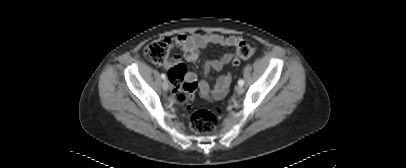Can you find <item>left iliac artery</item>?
Listing matches in <instances>:
<instances>
[{
	"label": "left iliac artery",
	"instance_id": "1",
	"mask_svg": "<svg viewBox=\"0 0 406 168\" xmlns=\"http://www.w3.org/2000/svg\"><path fill=\"white\" fill-rule=\"evenodd\" d=\"M238 84L241 85V86H243V85H244V80L240 79V80L238 81Z\"/></svg>",
	"mask_w": 406,
	"mask_h": 168
}]
</instances>
